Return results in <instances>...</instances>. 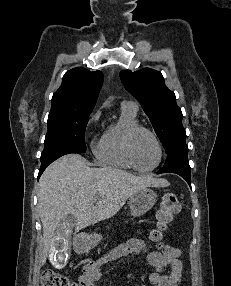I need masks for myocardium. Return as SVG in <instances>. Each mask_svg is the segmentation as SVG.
<instances>
[{
	"instance_id": "obj_1",
	"label": "myocardium",
	"mask_w": 231,
	"mask_h": 286,
	"mask_svg": "<svg viewBox=\"0 0 231 286\" xmlns=\"http://www.w3.org/2000/svg\"><path fill=\"white\" fill-rule=\"evenodd\" d=\"M141 132H145L148 133L155 141L157 148H158V152H159V157H158V161L156 162V164L154 166H152L151 168H141L137 165L134 156H133V151H132V146H133V141L135 139V137L141 133ZM124 152L125 155L129 161V163L131 164V166L133 167V169L141 172V173H150L153 172L154 170H156L160 164L162 163L163 160V156H164V150H163V145L158 137V135L151 130L150 128L144 127V126H135L132 127L131 129H129L125 135V139H124Z\"/></svg>"
}]
</instances>
